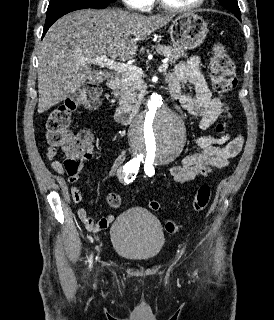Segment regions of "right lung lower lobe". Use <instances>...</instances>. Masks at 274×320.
<instances>
[{
  "label": "right lung lower lobe",
  "mask_w": 274,
  "mask_h": 320,
  "mask_svg": "<svg viewBox=\"0 0 274 320\" xmlns=\"http://www.w3.org/2000/svg\"><path fill=\"white\" fill-rule=\"evenodd\" d=\"M111 2H96V3H86V4H78V5H72V6H67L64 8H61L59 10L53 11L46 16V22L44 25V30H43V35L42 38L44 37L45 33L49 29V27L60 17L63 15L79 10V9H87V8H96V9H104L106 8Z\"/></svg>",
  "instance_id": "obj_1"
}]
</instances>
